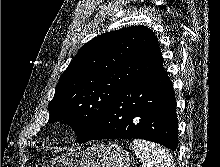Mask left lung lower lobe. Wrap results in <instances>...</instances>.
Segmentation results:
<instances>
[{
    "mask_svg": "<svg viewBox=\"0 0 220 167\" xmlns=\"http://www.w3.org/2000/svg\"><path fill=\"white\" fill-rule=\"evenodd\" d=\"M162 64L121 87L109 103L95 134L78 143L139 138L176 150V100L173 85Z\"/></svg>",
    "mask_w": 220,
    "mask_h": 167,
    "instance_id": "0a47b994",
    "label": "left lung lower lobe"
}]
</instances>
